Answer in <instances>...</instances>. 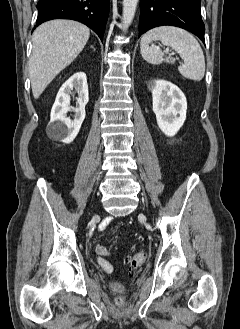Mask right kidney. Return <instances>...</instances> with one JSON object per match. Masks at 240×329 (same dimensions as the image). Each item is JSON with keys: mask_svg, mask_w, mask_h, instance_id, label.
Instances as JSON below:
<instances>
[{"mask_svg": "<svg viewBox=\"0 0 240 329\" xmlns=\"http://www.w3.org/2000/svg\"><path fill=\"white\" fill-rule=\"evenodd\" d=\"M75 89L78 92V107L70 106V94ZM88 85L84 72L72 75L60 88L53 104L47 133L54 139L70 144L77 136L85 119V105L88 103ZM69 111L75 114L73 119L67 116Z\"/></svg>", "mask_w": 240, "mask_h": 329, "instance_id": "ca27d5eb", "label": "right kidney"}]
</instances>
